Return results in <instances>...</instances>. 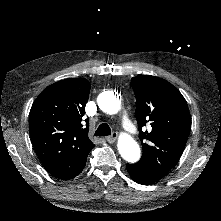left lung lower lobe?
I'll return each mask as SVG.
<instances>
[{
	"label": "left lung lower lobe",
	"mask_w": 221,
	"mask_h": 221,
	"mask_svg": "<svg viewBox=\"0 0 221 221\" xmlns=\"http://www.w3.org/2000/svg\"><path fill=\"white\" fill-rule=\"evenodd\" d=\"M126 168L131 178L135 182L143 185L152 184L163 177L159 173L152 171L148 166L140 161L136 164H128Z\"/></svg>",
	"instance_id": "left-lung-lower-lobe-1"
}]
</instances>
